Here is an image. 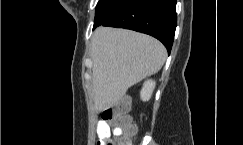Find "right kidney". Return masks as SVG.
Here are the masks:
<instances>
[{
    "label": "right kidney",
    "instance_id": "ca27d5eb",
    "mask_svg": "<svg viewBox=\"0 0 243 145\" xmlns=\"http://www.w3.org/2000/svg\"><path fill=\"white\" fill-rule=\"evenodd\" d=\"M154 88H155V81L152 80L145 81L142 90L140 92L141 99L143 101H148L151 98Z\"/></svg>",
    "mask_w": 243,
    "mask_h": 145
}]
</instances>
